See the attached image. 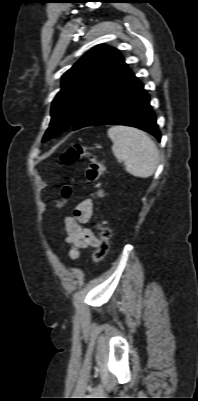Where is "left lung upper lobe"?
I'll return each mask as SVG.
<instances>
[{
  "label": "left lung upper lobe",
  "mask_w": 198,
  "mask_h": 401,
  "mask_svg": "<svg viewBox=\"0 0 198 401\" xmlns=\"http://www.w3.org/2000/svg\"><path fill=\"white\" fill-rule=\"evenodd\" d=\"M125 65L121 53L98 45L85 53L63 76L52 102L51 122L42 142L71 128L90 102Z\"/></svg>",
  "instance_id": "obj_1"
}]
</instances>
